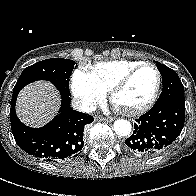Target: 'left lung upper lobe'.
<instances>
[{
	"label": "left lung upper lobe",
	"mask_w": 196,
	"mask_h": 196,
	"mask_svg": "<svg viewBox=\"0 0 196 196\" xmlns=\"http://www.w3.org/2000/svg\"><path fill=\"white\" fill-rule=\"evenodd\" d=\"M156 65L162 76L163 89L155 104L170 100L185 102L184 87L177 73L159 62H156Z\"/></svg>",
	"instance_id": "1"
}]
</instances>
